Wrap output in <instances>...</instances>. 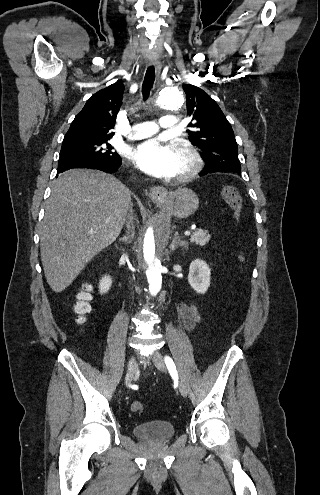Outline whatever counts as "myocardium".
Wrapping results in <instances>:
<instances>
[{"instance_id": "f54148a6", "label": "myocardium", "mask_w": 320, "mask_h": 495, "mask_svg": "<svg viewBox=\"0 0 320 495\" xmlns=\"http://www.w3.org/2000/svg\"><path fill=\"white\" fill-rule=\"evenodd\" d=\"M173 147L184 156L186 161V167L176 176V180L179 182L187 181L200 171L202 167L201 156L198 151L185 140L175 141Z\"/></svg>"}]
</instances>
